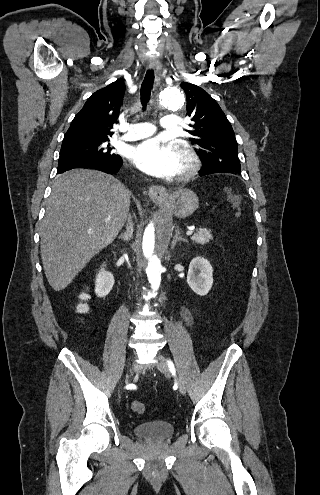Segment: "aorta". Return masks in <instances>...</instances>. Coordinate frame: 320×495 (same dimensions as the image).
<instances>
[{"instance_id":"obj_1","label":"aorta","mask_w":320,"mask_h":495,"mask_svg":"<svg viewBox=\"0 0 320 495\" xmlns=\"http://www.w3.org/2000/svg\"><path fill=\"white\" fill-rule=\"evenodd\" d=\"M159 105L169 110L182 107L184 98L177 89H165L160 93ZM170 216L163 212L155 216L146 226L141 239V252L143 265L151 284L152 290L156 291L161 284V250L170 239Z\"/></svg>"}]
</instances>
